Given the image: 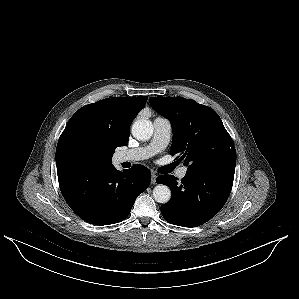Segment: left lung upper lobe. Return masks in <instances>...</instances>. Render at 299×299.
<instances>
[{"instance_id":"obj_1","label":"left lung upper lobe","mask_w":299,"mask_h":299,"mask_svg":"<svg viewBox=\"0 0 299 299\" xmlns=\"http://www.w3.org/2000/svg\"><path fill=\"white\" fill-rule=\"evenodd\" d=\"M151 106L172 125L171 154H180L187 170L205 166L235 168L236 150L219 115L193 100L150 97Z\"/></svg>"}]
</instances>
